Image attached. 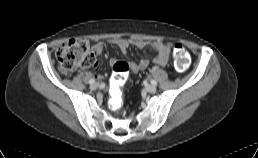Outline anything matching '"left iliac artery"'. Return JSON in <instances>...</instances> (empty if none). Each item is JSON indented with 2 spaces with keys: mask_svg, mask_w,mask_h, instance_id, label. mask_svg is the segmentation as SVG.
Instances as JSON below:
<instances>
[{
  "mask_svg": "<svg viewBox=\"0 0 258 158\" xmlns=\"http://www.w3.org/2000/svg\"><path fill=\"white\" fill-rule=\"evenodd\" d=\"M151 83H152L153 85H157V82H156L155 80H151Z\"/></svg>",
  "mask_w": 258,
  "mask_h": 158,
  "instance_id": "1",
  "label": "left iliac artery"
}]
</instances>
